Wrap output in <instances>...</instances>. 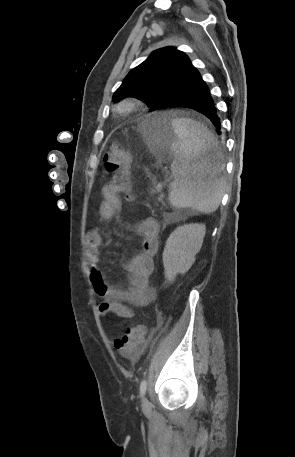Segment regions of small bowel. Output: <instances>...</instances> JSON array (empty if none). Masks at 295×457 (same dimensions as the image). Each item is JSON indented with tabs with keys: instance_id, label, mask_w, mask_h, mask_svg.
Listing matches in <instances>:
<instances>
[{
	"instance_id": "small-bowel-1",
	"label": "small bowel",
	"mask_w": 295,
	"mask_h": 457,
	"mask_svg": "<svg viewBox=\"0 0 295 457\" xmlns=\"http://www.w3.org/2000/svg\"><path fill=\"white\" fill-rule=\"evenodd\" d=\"M120 192L121 186L116 182H110L103 187L104 201L99 208V223L109 221L121 209ZM136 231L142 238V250L123 263L129 274V287L126 290L110 285L100 269V228L94 227L87 233L89 278L95 294L102 299L98 306L101 316L114 314L122 319H132L135 313L129 305L146 307L156 299V292L149 284V277L154 267V256L159 248V225L153 218H146L137 224ZM122 354L128 358H136L140 354V349L131 354Z\"/></svg>"
}]
</instances>
